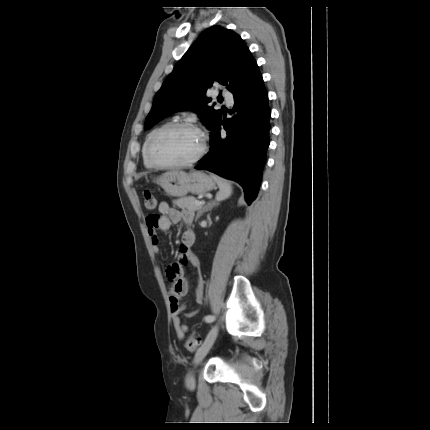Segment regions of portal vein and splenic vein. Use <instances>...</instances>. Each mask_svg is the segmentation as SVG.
<instances>
[{"label":"portal vein and splenic vein","instance_id":"1","mask_svg":"<svg viewBox=\"0 0 430 430\" xmlns=\"http://www.w3.org/2000/svg\"><path fill=\"white\" fill-rule=\"evenodd\" d=\"M195 204H196L197 206H202V205L204 204V202H202V201H198V200H197V201L195 202Z\"/></svg>","mask_w":430,"mask_h":430}]
</instances>
